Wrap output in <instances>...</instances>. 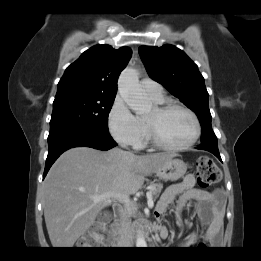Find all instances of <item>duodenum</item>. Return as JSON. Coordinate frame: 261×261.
Listing matches in <instances>:
<instances>
[{"label":"duodenum","instance_id":"410a0bca","mask_svg":"<svg viewBox=\"0 0 261 261\" xmlns=\"http://www.w3.org/2000/svg\"><path fill=\"white\" fill-rule=\"evenodd\" d=\"M120 230L121 227L118 223H114L109 227L108 230H104V236H105V240L103 241L104 245L110 247L119 246V242L122 239L119 235ZM143 232L146 239H149L154 235V231L151 228H145Z\"/></svg>","mask_w":261,"mask_h":261}]
</instances>
